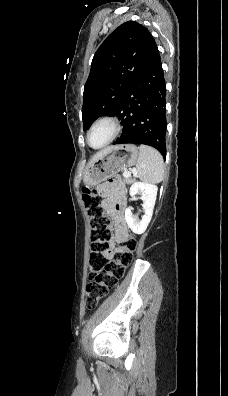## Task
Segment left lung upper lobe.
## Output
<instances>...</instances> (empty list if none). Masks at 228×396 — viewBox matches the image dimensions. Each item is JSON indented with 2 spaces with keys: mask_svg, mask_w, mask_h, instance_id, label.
<instances>
[{
  "mask_svg": "<svg viewBox=\"0 0 228 396\" xmlns=\"http://www.w3.org/2000/svg\"><path fill=\"white\" fill-rule=\"evenodd\" d=\"M155 40L143 25L128 21L116 28L96 51L84 86V130L100 116H114L144 68Z\"/></svg>",
  "mask_w": 228,
  "mask_h": 396,
  "instance_id": "obj_1",
  "label": "left lung upper lobe"
}]
</instances>
